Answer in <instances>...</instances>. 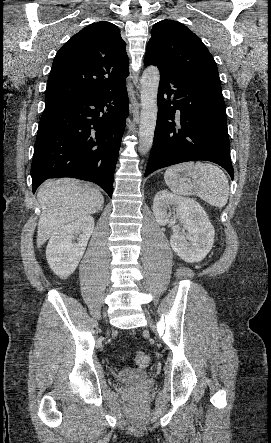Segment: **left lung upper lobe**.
Instances as JSON below:
<instances>
[{
	"label": "left lung upper lobe",
	"mask_w": 271,
	"mask_h": 443,
	"mask_svg": "<svg viewBox=\"0 0 271 443\" xmlns=\"http://www.w3.org/2000/svg\"><path fill=\"white\" fill-rule=\"evenodd\" d=\"M163 65L219 78L213 56L191 30L173 20L157 22L151 31L146 57Z\"/></svg>",
	"instance_id": "obj_1"
}]
</instances>
